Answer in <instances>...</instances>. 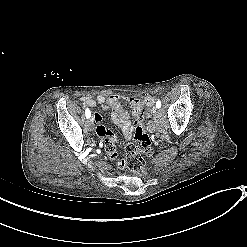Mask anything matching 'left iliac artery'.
I'll use <instances>...</instances> for the list:
<instances>
[{"instance_id":"left-iliac-artery-1","label":"left iliac artery","mask_w":247,"mask_h":247,"mask_svg":"<svg viewBox=\"0 0 247 247\" xmlns=\"http://www.w3.org/2000/svg\"><path fill=\"white\" fill-rule=\"evenodd\" d=\"M156 107H157V108H160V107H161V101H160V100H158V101L156 102Z\"/></svg>"}]
</instances>
